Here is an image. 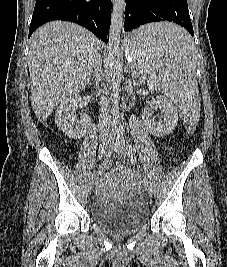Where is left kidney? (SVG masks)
<instances>
[{
  "mask_svg": "<svg viewBox=\"0 0 227 267\" xmlns=\"http://www.w3.org/2000/svg\"><path fill=\"white\" fill-rule=\"evenodd\" d=\"M157 103L161 117L155 120L150 111L143 113L144 125L155 136H165L173 132L178 122V112L173 103L165 97L158 96Z\"/></svg>",
  "mask_w": 227,
  "mask_h": 267,
  "instance_id": "5707ae66",
  "label": "left kidney"
}]
</instances>
